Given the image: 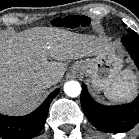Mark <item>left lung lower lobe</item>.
<instances>
[{"mask_svg": "<svg viewBox=\"0 0 139 139\" xmlns=\"http://www.w3.org/2000/svg\"><path fill=\"white\" fill-rule=\"evenodd\" d=\"M122 42L139 69V38L137 33L129 29V34L122 37ZM81 105L89 121L104 132H126L139 122V95L129 104L104 106L91 98L86 86L83 84Z\"/></svg>", "mask_w": 139, "mask_h": 139, "instance_id": "obj_1", "label": "left lung lower lobe"}]
</instances>
